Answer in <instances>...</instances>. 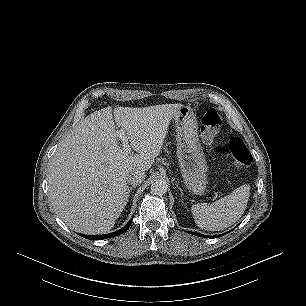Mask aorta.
I'll list each match as a JSON object with an SVG mask.
<instances>
[{
    "mask_svg": "<svg viewBox=\"0 0 306 306\" xmlns=\"http://www.w3.org/2000/svg\"><path fill=\"white\" fill-rule=\"evenodd\" d=\"M168 185L165 180L156 179L151 184V191L155 195H163L167 192Z\"/></svg>",
    "mask_w": 306,
    "mask_h": 306,
    "instance_id": "1",
    "label": "aorta"
}]
</instances>
